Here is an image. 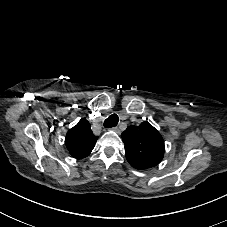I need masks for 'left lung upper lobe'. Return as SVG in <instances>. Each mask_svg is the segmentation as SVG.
<instances>
[{
	"label": "left lung upper lobe",
	"instance_id": "1",
	"mask_svg": "<svg viewBox=\"0 0 227 227\" xmlns=\"http://www.w3.org/2000/svg\"><path fill=\"white\" fill-rule=\"evenodd\" d=\"M125 156L136 169H148L160 163L164 156V140L147 121L129 126L121 135Z\"/></svg>",
	"mask_w": 227,
	"mask_h": 227
}]
</instances>
